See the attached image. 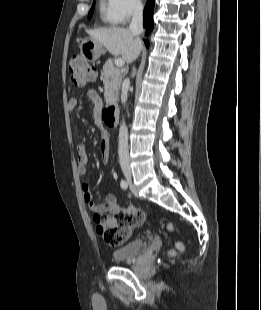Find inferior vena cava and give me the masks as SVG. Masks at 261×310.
Returning <instances> with one entry per match:
<instances>
[{"instance_id": "inferior-vena-cava-1", "label": "inferior vena cava", "mask_w": 261, "mask_h": 310, "mask_svg": "<svg viewBox=\"0 0 261 310\" xmlns=\"http://www.w3.org/2000/svg\"><path fill=\"white\" fill-rule=\"evenodd\" d=\"M129 30L134 36H139L143 31V6L140 2L135 3L133 8L132 21ZM130 80L127 78L123 82L121 91V102L125 103L128 97V88ZM119 161L121 167H129V146H128V129L123 122L119 129V146H118Z\"/></svg>"}]
</instances>
